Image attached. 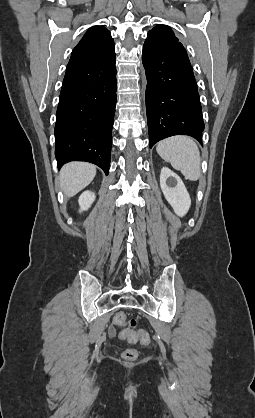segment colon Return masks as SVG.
<instances>
[{"instance_id":"colon-1","label":"colon","mask_w":255,"mask_h":418,"mask_svg":"<svg viewBox=\"0 0 255 418\" xmlns=\"http://www.w3.org/2000/svg\"><path fill=\"white\" fill-rule=\"evenodd\" d=\"M113 322L117 327L122 329L120 332L121 339H125L130 342L140 341L142 344L149 343L150 337L148 332L144 330L136 332V320H127V317L123 312H117L113 317ZM137 355L138 353L134 348H127L122 353V357L128 361L135 360Z\"/></svg>"}]
</instances>
